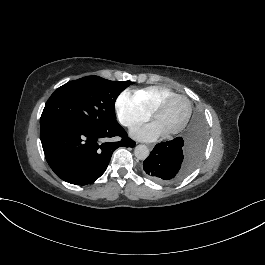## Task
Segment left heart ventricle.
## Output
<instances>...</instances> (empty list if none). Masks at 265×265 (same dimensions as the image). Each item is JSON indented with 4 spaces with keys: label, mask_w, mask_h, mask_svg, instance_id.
Masks as SVG:
<instances>
[{
    "label": "left heart ventricle",
    "mask_w": 265,
    "mask_h": 265,
    "mask_svg": "<svg viewBox=\"0 0 265 265\" xmlns=\"http://www.w3.org/2000/svg\"><path fill=\"white\" fill-rule=\"evenodd\" d=\"M184 112V102L181 99H172L158 111L154 121L164 132H167L180 123Z\"/></svg>",
    "instance_id": "left-heart-ventricle-1"
}]
</instances>
